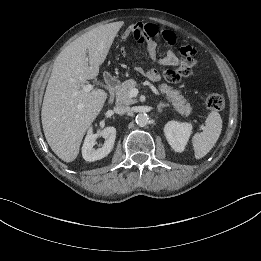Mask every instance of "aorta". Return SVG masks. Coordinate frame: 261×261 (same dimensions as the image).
I'll return each mask as SVG.
<instances>
[{
	"label": "aorta",
	"mask_w": 261,
	"mask_h": 261,
	"mask_svg": "<svg viewBox=\"0 0 261 261\" xmlns=\"http://www.w3.org/2000/svg\"><path fill=\"white\" fill-rule=\"evenodd\" d=\"M135 121L138 126L144 127L149 123V116L146 113L137 114Z\"/></svg>",
	"instance_id": "762f6f07"
}]
</instances>
